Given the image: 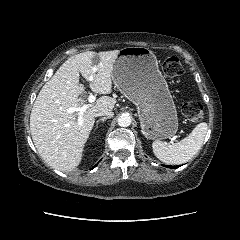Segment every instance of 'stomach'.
<instances>
[{
    "label": "stomach",
    "mask_w": 240,
    "mask_h": 240,
    "mask_svg": "<svg viewBox=\"0 0 240 240\" xmlns=\"http://www.w3.org/2000/svg\"><path fill=\"white\" fill-rule=\"evenodd\" d=\"M118 90L137 106L142 133L149 139L176 134V106L159 70L155 54L146 47H125L112 69Z\"/></svg>",
    "instance_id": "1"
}]
</instances>
